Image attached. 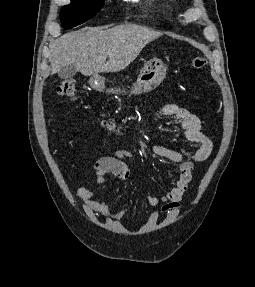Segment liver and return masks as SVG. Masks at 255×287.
<instances>
[{
	"mask_svg": "<svg viewBox=\"0 0 255 287\" xmlns=\"http://www.w3.org/2000/svg\"><path fill=\"white\" fill-rule=\"evenodd\" d=\"M105 28L109 26L82 28L51 42L49 62L53 74L71 64L83 76H95L100 72H121L136 60L144 46L162 36L161 32L133 24L115 26L109 30Z\"/></svg>",
	"mask_w": 255,
	"mask_h": 287,
	"instance_id": "liver-1",
	"label": "liver"
}]
</instances>
